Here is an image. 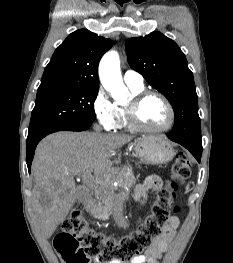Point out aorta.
I'll list each match as a JSON object with an SVG mask.
<instances>
[{
    "instance_id": "obj_1",
    "label": "aorta",
    "mask_w": 233,
    "mask_h": 263,
    "mask_svg": "<svg viewBox=\"0 0 233 263\" xmlns=\"http://www.w3.org/2000/svg\"><path fill=\"white\" fill-rule=\"evenodd\" d=\"M99 77L103 87L119 104L127 102L128 90L122 80L119 55L116 51L107 52L101 59Z\"/></svg>"
}]
</instances>
